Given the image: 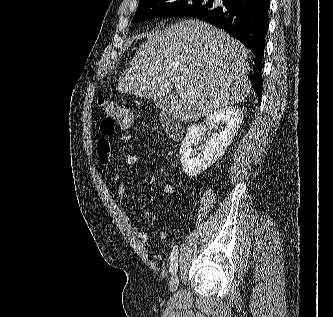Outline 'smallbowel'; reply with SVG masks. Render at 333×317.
I'll list each match as a JSON object with an SVG mask.
<instances>
[{
  "instance_id": "1",
  "label": "small bowel",
  "mask_w": 333,
  "mask_h": 317,
  "mask_svg": "<svg viewBox=\"0 0 333 317\" xmlns=\"http://www.w3.org/2000/svg\"><path fill=\"white\" fill-rule=\"evenodd\" d=\"M120 140L122 142H128V141H130V136L123 135L120 137ZM96 151H97L101 164L106 167L109 166L110 162H111V152H112V145H111L110 141L107 138H100L96 144ZM142 159H143V156L140 153L133 152L125 158V165L127 167H132ZM112 183L117 189V193L119 195L120 202L122 204L124 215H125L126 219L132 224V219H131V214H130V205H129V202L127 199L126 186L120 180L118 173L113 174ZM163 192L166 195L173 196L175 194V189L173 188V186L166 184L163 186ZM132 228H133L135 235L139 239L144 240V241L149 239V235L146 231L140 229L139 227L135 226L134 224H132ZM166 238H167V233L165 231H160L157 234L158 240H164Z\"/></svg>"
}]
</instances>
